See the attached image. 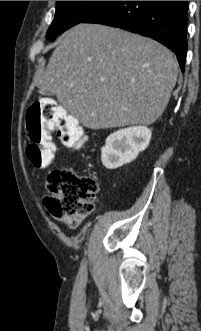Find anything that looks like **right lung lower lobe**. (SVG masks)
<instances>
[{
  "label": "right lung lower lobe",
  "instance_id": "1",
  "mask_svg": "<svg viewBox=\"0 0 201 331\" xmlns=\"http://www.w3.org/2000/svg\"><path fill=\"white\" fill-rule=\"evenodd\" d=\"M187 10V1H108L83 23L109 25L151 37L177 55L184 71Z\"/></svg>",
  "mask_w": 201,
  "mask_h": 331
}]
</instances>
